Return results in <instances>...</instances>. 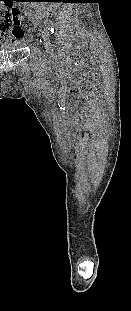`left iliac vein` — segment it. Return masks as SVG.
<instances>
[{"label":"left iliac vein","mask_w":131,"mask_h":311,"mask_svg":"<svg viewBox=\"0 0 131 311\" xmlns=\"http://www.w3.org/2000/svg\"><path fill=\"white\" fill-rule=\"evenodd\" d=\"M42 39H43L44 46H45L47 52H48V53H52V51H53V46H52V44H51L49 32H48L47 29H44V30L42 31Z\"/></svg>","instance_id":"left-iliac-vein-1"}]
</instances>
